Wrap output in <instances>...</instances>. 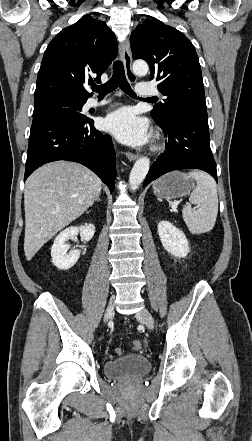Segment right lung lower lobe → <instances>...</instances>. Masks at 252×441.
I'll use <instances>...</instances> for the list:
<instances>
[{
    "label": "right lung lower lobe",
    "instance_id": "right-lung-lower-lobe-1",
    "mask_svg": "<svg viewBox=\"0 0 252 441\" xmlns=\"http://www.w3.org/2000/svg\"><path fill=\"white\" fill-rule=\"evenodd\" d=\"M115 157L111 137L96 130L93 120L52 115L38 117L33 119L30 131L24 181L45 163L69 160L91 169L113 192Z\"/></svg>",
    "mask_w": 252,
    "mask_h": 441
}]
</instances>
